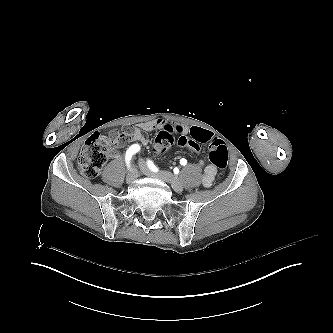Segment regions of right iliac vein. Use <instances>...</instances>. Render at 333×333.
Wrapping results in <instances>:
<instances>
[{"label": "right iliac vein", "instance_id": "obj_1", "mask_svg": "<svg viewBox=\"0 0 333 333\" xmlns=\"http://www.w3.org/2000/svg\"><path fill=\"white\" fill-rule=\"evenodd\" d=\"M137 173L136 172H131V175L129 178H127V183H132L136 178H137Z\"/></svg>", "mask_w": 333, "mask_h": 333}]
</instances>
